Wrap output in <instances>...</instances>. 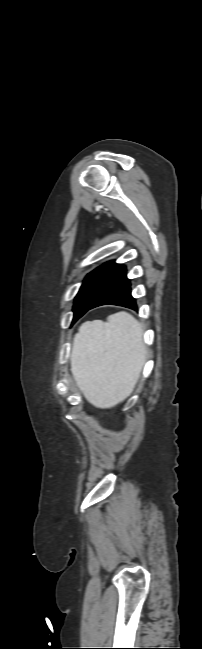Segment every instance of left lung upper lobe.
Here are the masks:
<instances>
[{"label":"left lung upper lobe","instance_id":"1","mask_svg":"<svg viewBox=\"0 0 202 649\" xmlns=\"http://www.w3.org/2000/svg\"><path fill=\"white\" fill-rule=\"evenodd\" d=\"M120 267L121 265L116 264L114 261L107 262L86 276L75 297L73 322L77 321L84 314L88 304L101 293Z\"/></svg>","mask_w":202,"mask_h":649}]
</instances>
